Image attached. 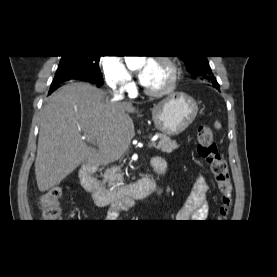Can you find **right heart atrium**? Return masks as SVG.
Returning a JSON list of instances; mask_svg holds the SVG:
<instances>
[{
	"label": "right heart atrium",
	"instance_id": "obj_1",
	"mask_svg": "<svg viewBox=\"0 0 277 277\" xmlns=\"http://www.w3.org/2000/svg\"><path fill=\"white\" fill-rule=\"evenodd\" d=\"M100 66L106 84L112 89L124 91L132 85V75L118 55H105Z\"/></svg>",
	"mask_w": 277,
	"mask_h": 277
}]
</instances>
